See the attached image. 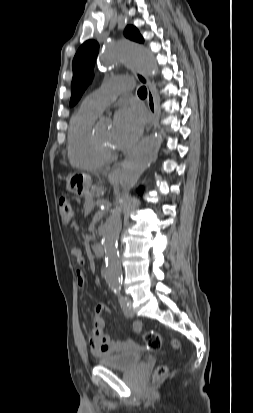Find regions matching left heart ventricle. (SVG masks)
I'll use <instances>...</instances> for the list:
<instances>
[{
  "label": "left heart ventricle",
  "instance_id": "1",
  "mask_svg": "<svg viewBox=\"0 0 253 413\" xmlns=\"http://www.w3.org/2000/svg\"><path fill=\"white\" fill-rule=\"evenodd\" d=\"M98 137L107 145H113L112 128L110 126H102L97 130Z\"/></svg>",
  "mask_w": 253,
  "mask_h": 413
}]
</instances>
